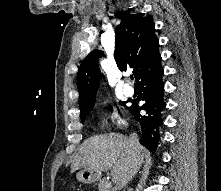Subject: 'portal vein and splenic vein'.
Segmentation results:
<instances>
[{
	"label": "portal vein and splenic vein",
	"instance_id": "1",
	"mask_svg": "<svg viewBox=\"0 0 221 191\" xmlns=\"http://www.w3.org/2000/svg\"><path fill=\"white\" fill-rule=\"evenodd\" d=\"M107 186H111V183L109 182V183L107 184Z\"/></svg>",
	"mask_w": 221,
	"mask_h": 191
}]
</instances>
